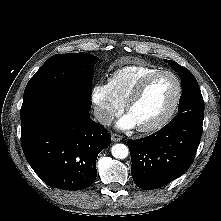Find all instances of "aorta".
I'll return each instance as SVG.
<instances>
[{
  "instance_id": "aorta-1",
  "label": "aorta",
  "mask_w": 221,
  "mask_h": 221,
  "mask_svg": "<svg viewBox=\"0 0 221 221\" xmlns=\"http://www.w3.org/2000/svg\"><path fill=\"white\" fill-rule=\"evenodd\" d=\"M111 153L116 159H125L128 156V147L124 144L118 143L112 146Z\"/></svg>"
}]
</instances>
